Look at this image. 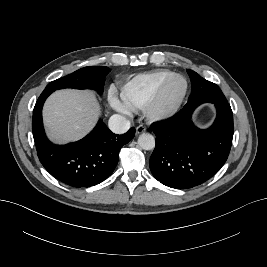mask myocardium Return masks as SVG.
<instances>
[{
  "instance_id": "obj_1",
  "label": "myocardium",
  "mask_w": 267,
  "mask_h": 267,
  "mask_svg": "<svg viewBox=\"0 0 267 267\" xmlns=\"http://www.w3.org/2000/svg\"><path fill=\"white\" fill-rule=\"evenodd\" d=\"M175 79H182L184 81L185 87L183 93L181 94L179 99L173 104L164 105L163 98L165 92L170 83ZM188 90H189V84L187 79L183 75L181 74L171 75L160 84L155 94L144 108L146 116L153 121H162L174 116L184 103Z\"/></svg>"
}]
</instances>
